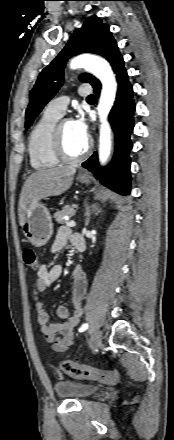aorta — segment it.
Instances as JSON below:
<instances>
[{
    "instance_id": "obj_1",
    "label": "aorta",
    "mask_w": 174,
    "mask_h": 440,
    "mask_svg": "<svg viewBox=\"0 0 174 440\" xmlns=\"http://www.w3.org/2000/svg\"><path fill=\"white\" fill-rule=\"evenodd\" d=\"M71 69L84 68L102 83V91L97 106L100 117L99 161L105 165L111 152V127L107 121L117 93V82L110 64L103 58L90 54H82L70 62Z\"/></svg>"
}]
</instances>
